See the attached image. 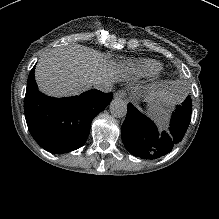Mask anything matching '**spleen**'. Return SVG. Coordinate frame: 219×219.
<instances>
[{
  "instance_id": "obj_1",
  "label": "spleen",
  "mask_w": 219,
  "mask_h": 219,
  "mask_svg": "<svg viewBox=\"0 0 219 219\" xmlns=\"http://www.w3.org/2000/svg\"><path fill=\"white\" fill-rule=\"evenodd\" d=\"M166 115L167 112L165 110L157 109L151 114V117L155 121V123L159 126V128H165Z\"/></svg>"
}]
</instances>
